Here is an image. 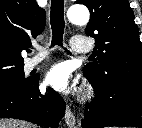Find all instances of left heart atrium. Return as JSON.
I'll list each match as a JSON object with an SVG mask.
<instances>
[{"label":"left heart atrium","mask_w":142,"mask_h":128,"mask_svg":"<svg viewBox=\"0 0 142 128\" xmlns=\"http://www.w3.org/2000/svg\"><path fill=\"white\" fill-rule=\"evenodd\" d=\"M71 73L65 63L54 65L46 75V83L58 91H66L70 86Z\"/></svg>","instance_id":"1"}]
</instances>
